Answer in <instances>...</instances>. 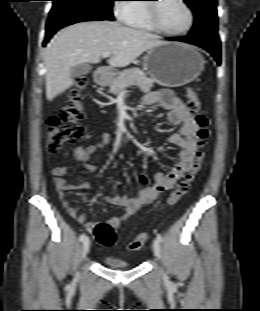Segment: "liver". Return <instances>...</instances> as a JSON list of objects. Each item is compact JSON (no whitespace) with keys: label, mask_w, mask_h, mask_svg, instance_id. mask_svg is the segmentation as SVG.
<instances>
[{"label":"liver","mask_w":260,"mask_h":311,"mask_svg":"<svg viewBox=\"0 0 260 311\" xmlns=\"http://www.w3.org/2000/svg\"><path fill=\"white\" fill-rule=\"evenodd\" d=\"M166 42L156 36L113 21L80 22L60 30L45 50L46 98L52 101L73 84L71 69L99 63L111 53L110 67H126L143 52Z\"/></svg>","instance_id":"liver-1"}]
</instances>
